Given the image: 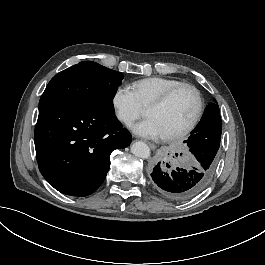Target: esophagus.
<instances>
[{"instance_id":"esophagus-1","label":"esophagus","mask_w":265,"mask_h":265,"mask_svg":"<svg viewBox=\"0 0 265 265\" xmlns=\"http://www.w3.org/2000/svg\"><path fill=\"white\" fill-rule=\"evenodd\" d=\"M146 144L150 147L151 150L154 151L156 149V145L155 144H153L151 142H148V141H146Z\"/></svg>"}]
</instances>
